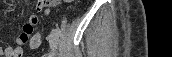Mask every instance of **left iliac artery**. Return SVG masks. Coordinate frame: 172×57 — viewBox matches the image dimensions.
I'll list each match as a JSON object with an SVG mask.
<instances>
[{"instance_id": "1", "label": "left iliac artery", "mask_w": 172, "mask_h": 57, "mask_svg": "<svg viewBox=\"0 0 172 57\" xmlns=\"http://www.w3.org/2000/svg\"><path fill=\"white\" fill-rule=\"evenodd\" d=\"M56 32L58 33V34H60V29H59V27H56Z\"/></svg>"}]
</instances>
